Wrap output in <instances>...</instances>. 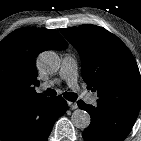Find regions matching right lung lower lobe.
<instances>
[{
    "mask_svg": "<svg viewBox=\"0 0 141 141\" xmlns=\"http://www.w3.org/2000/svg\"><path fill=\"white\" fill-rule=\"evenodd\" d=\"M67 110L61 97L27 101L0 114L2 141H47L58 117Z\"/></svg>",
    "mask_w": 141,
    "mask_h": 141,
    "instance_id": "98d812e1",
    "label": "right lung lower lobe"
}]
</instances>
